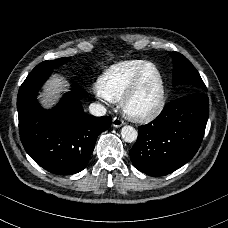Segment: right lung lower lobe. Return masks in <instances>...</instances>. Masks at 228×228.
Instances as JSON below:
<instances>
[{
    "instance_id": "1",
    "label": "right lung lower lobe",
    "mask_w": 228,
    "mask_h": 228,
    "mask_svg": "<svg viewBox=\"0 0 228 228\" xmlns=\"http://www.w3.org/2000/svg\"><path fill=\"white\" fill-rule=\"evenodd\" d=\"M51 73L52 70L29 74L19 89L20 139L42 168L71 175L86 167L98 135L110 127L112 118L86 114L79 99L87 97V93L74 81L72 90L54 108L43 109L36 96Z\"/></svg>"
}]
</instances>
